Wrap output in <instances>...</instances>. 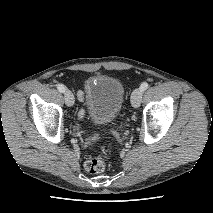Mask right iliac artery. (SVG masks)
Returning <instances> with one entry per match:
<instances>
[{
    "instance_id": "obj_1",
    "label": "right iliac artery",
    "mask_w": 213,
    "mask_h": 213,
    "mask_svg": "<svg viewBox=\"0 0 213 213\" xmlns=\"http://www.w3.org/2000/svg\"><path fill=\"white\" fill-rule=\"evenodd\" d=\"M57 89L61 92L64 93L66 91V87L63 84H58Z\"/></svg>"
}]
</instances>
